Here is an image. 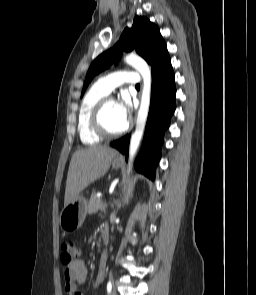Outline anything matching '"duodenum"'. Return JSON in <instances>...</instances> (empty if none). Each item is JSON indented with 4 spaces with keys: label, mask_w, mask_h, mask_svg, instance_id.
<instances>
[{
    "label": "duodenum",
    "mask_w": 256,
    "mask_h": 295,
    "mask_svg": "<svg viewBox=\"0 0 256 295\" xmlns=\"http://www.w3.org/2000/svg\"><path fill=\"white\" fill-rule=\"evenodd\" d=\"M102 242L106 243L108 241V227L104 226L101 232Z\"/></svg>",
    "instance_id": "obj_1"
}]
</instances>
